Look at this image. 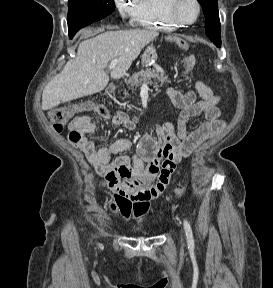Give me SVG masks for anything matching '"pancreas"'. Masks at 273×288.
Segmentation results:
<instances>
[{
  "label": "pancreas",
  "mask_w": 273,
  "mask_h": 288,
  "mask_svg": "<svg viewBox=\"0 0 273 288\" xmlns=\"http://www.w3.org/2000/svg\"><path fill=\"white\" fill-rule=\"evenodd\" d=\"M152 79L156 80V84L160 83V85L170 82L165 71L158 68L156 70L146 69L141 70L138 73H134L127 81V84L129 85V88L133 90L134 87H139V85H141L143 82L152 83Z\"/></svg>",
  "instance_id": "cf45deb5"
}]
</instances>
